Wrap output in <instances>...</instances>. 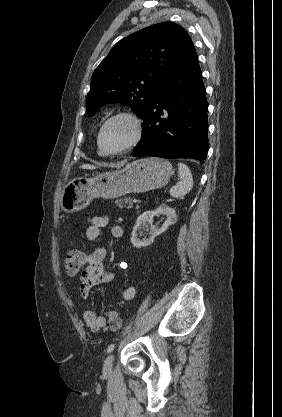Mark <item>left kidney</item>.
<instances>
[{
  "instance_id": "left-kidney-1",
  "label": "left kidney",
  "mask_w": 282,
  "mask_h": 417,
  "mask_svg": "<svg viewBox=\"0 0 282 417\" xmlns=\"http://www.w3.org/2000/svg\"><path fill=\"white\" fill-rule=\"evenodd\" d=\"M160 215H165L166 221L163 223L160 229H155L154 225H152L153 217H160ZM175 223H177L176 211L175 209H171V206H168V204H165V202L160 204L158 209H155V211H146V213H143V215L138 217L136 225L132 231L131 243L133 247H136V249H141V247H149V245H152L157 235H161V233L167 231L170 225H175ZM148 225H150L151 237H149V239H137L139 229H145V227H148Z\"/></svg>"
}]
</instances>
